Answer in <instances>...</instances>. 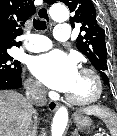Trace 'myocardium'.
<instances>
[{
  "label": "myocardium",
  "instance_id": "obj_1",
  "mask_svg": "<svg viewBox=\"0 0 117 136\" xmlns=\"http://www.w3.org/2000/svg\"><path fill=\"white\" fill-rule=\"evenodd\" d=\"M79 73L87 74L92 78L94 87H95V92L91 97L86 98V99H78L67 93L66 99L70 103L77 105V106H86V105L96 103L102 97L103 91H104L103 82H102L101 77L95 70L91 68H86V67L81 68L79 70Z\"/></svg>",
  "mask_w": 117,
  "mask_h": 136
}]
</instances>
